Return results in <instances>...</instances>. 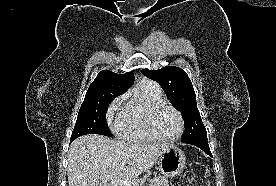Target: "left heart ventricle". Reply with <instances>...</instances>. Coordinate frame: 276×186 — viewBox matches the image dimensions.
Returning <instances> with one entry per match:
<instances>
[{
  "instance_id": "1",
  "label": "left heart ventricle",
  "mask_w": 276,
  "mask_h": 186,
  "mask_svg": "<svg viewBox=\"0 0 276 186\" xmlns=\"http://www.w3.org/2000/svg\"><path fill=\"white\" fill-rule=\"evenodd\" d=\"M155 128L162 137H173L180 130L179 117L169 107H163L155 117Z\"/></svg>"
}]
</instances>
